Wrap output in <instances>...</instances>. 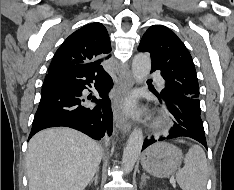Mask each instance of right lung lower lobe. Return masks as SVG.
<instances>
[{
	"instance_id": "obj_1",
	"label": "right lung lower lobe",
	"mask_w": 234,
	"mask_h": 190,
	"mask_svg": "<svg viewBox=\"0 0 234 190\" xmlns=\"http://www.w3.org/2000/svg\"><path fill=\"white\" fill-rule=\"evenodd\" d=\"M112 85V78L99 61L49 72L29 139L42 129L57 126L74 128L96 140L110 135L113 117L108 93ZM88 87H95L100 98L83 96ZM88 101L97 106L89 107Z\"/></svg>"
}]
</instances>
